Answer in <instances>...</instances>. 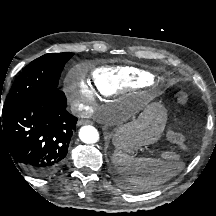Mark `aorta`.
Returning a JSON list of instances; mask_svg holds the SVG:
<instances>
[{"label":"aorta","mask_w":216,"mask_h":216,"mask_svg":"<svg viewBox=\"0 0 216 216\" xmlns=\"http://www.w3.org/2000/svg\"><path fill=\"white\" fill-rule=\"evenodd\" d=\"M79 137L86 144H93L99 141V133L93 126L87 125L81 127Z\"/></svg>","instance_id":"aorta-1"}]
</instances>
